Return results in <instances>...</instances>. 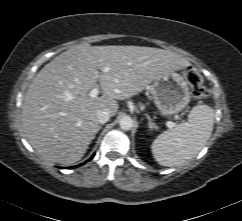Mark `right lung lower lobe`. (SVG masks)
Here are the masks:
<instances>
[{
  "label": "right lung lower lobe",
  "mask_w": 242,
  "mask_h": 221,
  "mask_svg": "<svg viewBox=\"0 0 242 221\" xmlns=\"http://www.w3.org/2000/svg\"><path fill=\"white\" fill-rule=\"evenodd\" d=\"M94 156V155H93ZM93 156H92V158H93ZM80 165H82V164H80ZM80 165H78V166H80ZM78 166H75V167H78ZM70 168H74V167H70Z\"/></svg>",
  "instance_id": "obj_1"
}]
</instances>
